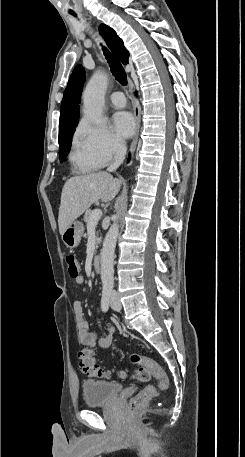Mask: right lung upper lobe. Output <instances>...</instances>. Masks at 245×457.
Wrapping results in <instances>:
<instances>
[{
	"mask_svg": "<svg viewBox=\"0 0 245 457\" xmlns=\"http://www.w3.org/2000/svg\"><path fill=\"white\" fill-rule=\"evenodd\" d=\"M100 33L115 56L123 63H128L129 53L125 49L123 41L116 32L107 25L101 24ZM85 81V70L82 65H77L73 70L67 87L64 91L59 128L78 122L79 104L81 102L82 87Z\"/></svg>",
	"mask_w": 245,
	"mask_h": 457,
	"instance_id": "cb5924a9",
	"label": "right lung upper lobe"
}]
</instances>
